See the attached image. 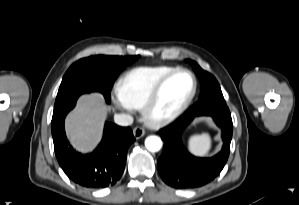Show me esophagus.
I'll return each instance as SVG.
<instances>
[{"mask_svg":"<svg viewBox=\"0 0 299 205\" xmlns=\"http://www.w3.org/2000/svg\"><path fill=\"white\" fill-rule=\"evenodd\" d=\"M145 134V130L142 127H135L133 129V135L136 139H140Z\"/></svg>","mask_w":299,"mask_h":205,"instance_id":"1","label":"esophagus"}]
</instances>
